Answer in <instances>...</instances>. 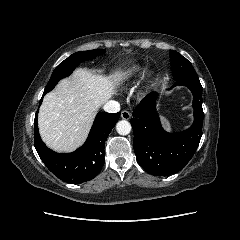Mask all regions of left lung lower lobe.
<instances>
[{
    "instance_id": "1",
    "label": "left lung lower lobe",
    "mask_w": 240,
    "mask_h": 240,
    "mask_svg": "<svg viewBox=\"0 0 240 240\" xmlns=\"http://www.w3.org/2000/svg\"><path fill=\"white\" fill-rule=\"evenodd\" d=\"M188 87L193 94L194 123L182 133L170 134L162 128L155 109L154 92L148 94L133 111L134 151L139 165L148 173L168 176L190 161L202 136L203 109L200 81H177L172 87Z\"/></svg>"
}]
</instances>
